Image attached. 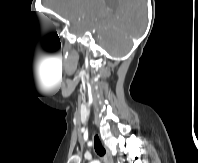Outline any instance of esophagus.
<instances>
[{
	"label": "esophagus",
	"mask_w": 198,
	"mask_h": 163,
	"mask_svg": "<svg viewBox=\"0 0 198 163\" xmlns=\"http://www.w3.org/2000/svg\"><path fill=\"white\" fill-rule=\"evenodd\" d=\"M105 150H106V163H113V158H112L111 152L106 147H105Z\"/></svg>",
	"instance_id": "esophagus-1"
}]
</instances>
